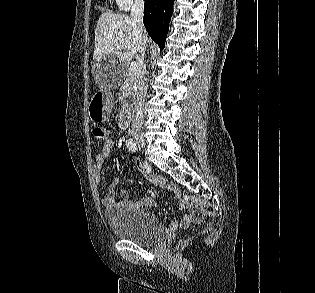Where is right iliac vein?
<instances>
[{"label":"right iliac vein","mask_w":315,"mask_h":293,"mask_svg":"<svg viewBox=\"0 0 315 293\" xmlns=\"http://www.w3.org/2000/svg\"><path fill=\"white\" fill-rule=\"evenodd\" d=\"M134 140L140 147L145 148V141L142 137L134 136Z\"/></svg>","instance_id":"63e3f726"}]
</instances>
